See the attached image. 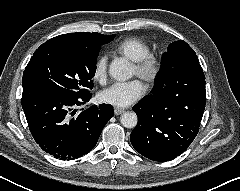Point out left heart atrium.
<instances>
[{
    "mask_svg": "<svg viewBox=\"0 0 240 191\" xmlns=\"http://www.w3.org/2000/svg\"><path fill=\"white\" fill-rule=\"evenodd\" d=\"M144 92V85L139 80L116 82L101 92L100 99L115 107H127L139 100Z\"/></svg>",
    "mask_w": 240,
    "mask_h": 191,
    "instance_id": "39dd6f15",
    "label": "left heart atrium"
}]
</instances>
